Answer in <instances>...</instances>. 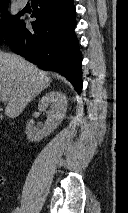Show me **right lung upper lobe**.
<instances>
[{
	"label": "right lung upper lobe",
	"mask_w": 128,
	"mask_h": 213,
	"mask_svg": "<svg viewBox=\"0 0 128 213\" xmlns=\"http://www.w3.org/2000/svg\"><path fill=\"white\" fill-rule=\"evenodd\" d=\"M7 2H8V0H0V6H2V5H6V4H7Z\"/></svg>",
	"instance_id": "cb5924a9"
}]
</instances>
